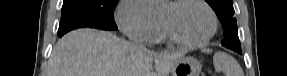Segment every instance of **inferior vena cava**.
<instances>
[{
	"label": "inferior vena cava",
	"mask_w": 287,
	"mask_h": 76,
	"mask_svg": "<svg viewBox=\"0 0 287 76\" xmlns=\"http://www.w3.org/2000/svg\"><path fill=\"white\" fill-rule=\"evenodd\" d=\"M132 44L135 46L136 50L138 51H146V47L143 44H140L136 41L131 40Z\"/></svg>",
	"instance_id": "inferior-vena-cava-1"
}]
</instances>
